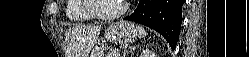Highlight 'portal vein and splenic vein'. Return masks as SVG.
<instances>
[{
    "label": "portal vein and splenic vein",
    "instance_id": "1",
    "mask_svg": "<svg viewBox=\"0 0 249 57\" xmlns=\"http://www.w3.org/2000/svg\"><path fill=\"white\" fill-rule=\"evenodd\" d=\"M116 57H120V55H119V54H117V55H116Z\"/></svg>",
    "mask_w": 249,
    "mask_h": 57
}]
</instances>
